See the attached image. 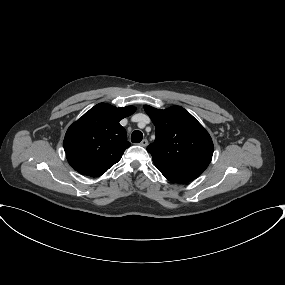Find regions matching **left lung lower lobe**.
<instances>
[{"label": "left lung lower lobe", "instance_id": "left-lung-lower-lobe-1", "mask_svg": "<svg viewBox=\"0 0 285 285\" xmlns=\"http://www.w3.org/2000/svg\"><path fill=\"white\" fill-rule=\"evenodd\" d=\"M169 181L173 182V183H188L190 181H192V178L189 177H185V176H181V175H177V174H173V173H165L163 171H160Z\"/></svg>", "mask_w": 285, "mask_h": 285}]
</instances>
